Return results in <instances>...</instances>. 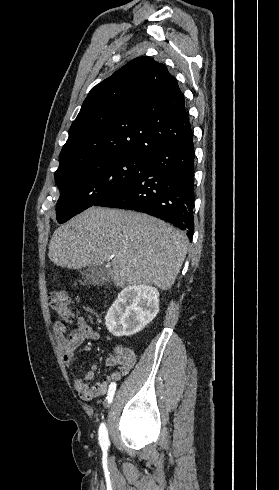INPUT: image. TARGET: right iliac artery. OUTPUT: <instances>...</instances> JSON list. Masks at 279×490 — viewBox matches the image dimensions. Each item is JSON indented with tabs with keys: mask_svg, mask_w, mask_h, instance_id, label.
<instances>
[{
	"mask_svg": "<svg viewBox=\"0 0 279 490\" xmlns=\"http://www.w3.org/2000/svg\"><path fill=\"white\" fill-rule=\"evenodd\" d=\"M116 384H117V381L113 380L112 384L109 388L108 395L106 397V399L108 400V403H111L113 400L114 393L118 388ZM99 443H100V446L103 450H107L108 446L110 445V441L108 438V432H107V429H106V426L104 423H102L100 425V428H99Z\"/></svg>",
	"mask_w": 279,
	"mask_h": 490,
	"instance_id": "82829eb1",
	"label": "right iliac artery"
}]
</instances>
